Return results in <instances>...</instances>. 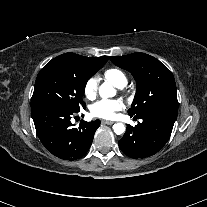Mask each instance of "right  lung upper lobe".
<instances>
[{"instance_id":"obj_1","label":"right lung upper lobe","mask_w":207,"mask_h":207,"mask_svg":"<svg viewBox=\"0 0 207 207\" xmlns=\"http://www.w3.org/2000/svg\"><path fill=\"white\" fill-rule=\"evenodd\" d=\"M62 57H69L72 59H76L79 61H83V62H88V63H94V64H105L108 60L107 56H102V57H97V58H87L81 55H76L74 53H66L63 55H60Z\"/></svg>"}]
</instances>
